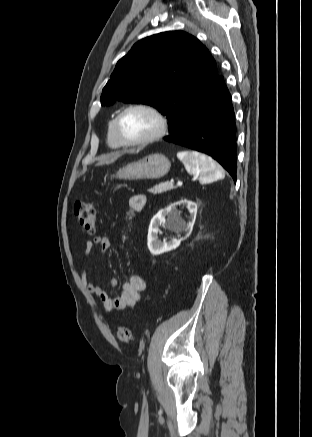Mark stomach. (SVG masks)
Segmentation results:
<instances>
[{"label": "stomach", "instance_id": "obj_1", "mask_svg": "<svg viewBox=\"0 0 312 437\" xmlns=\"http://www.w3.org/2000/svg\"><path fill=\"white\" fill-rule=\"evenodd\" d=\"M170 167L169 159L156 153L123 166L113 177L125 180L157 179L166 175Z\"/></svg>", "mask_w": 312, "mask_h": 437}]
</instances>
